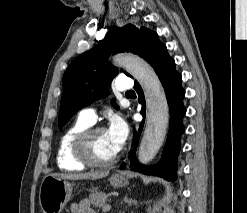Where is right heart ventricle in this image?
<instances>
[{
    "label": "right heart ventricle",
    "mask_w": 247,
    "mask_h": 213,
    "mask_svg": "<svg viewBox=\"0 0 247 213\" xmlns=\"http://www.w3.org/2000/svg\"><path fill=\"white\" fill-rule=\"evenodd\" d=\"M91 123L78 118L68 126L59 138L56 162L57 166L64 171H82L86 168L73 155L72 144L76 135L82 130L91 127Z\"/></svg>",
    "instance_id": "1"
}]
</instances>
